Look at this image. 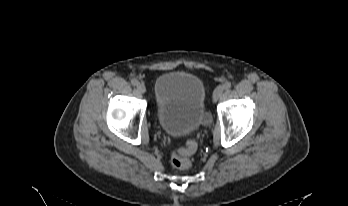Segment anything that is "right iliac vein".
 <instances>
[{"instance_id":"63e3f726","label":"right iliac vein","mask_w":348,"mask_h":206,"mask_svg":"<svg viewBox=\"0 0 348 206\" xmlns=\"http://www.w3.org/2000/svg\"><path fill=\"white\" fill-rule=\"evenodd\" d=\"M137 91H138L139 93H141V94H144V93L146 92V87H145V85L142 84V83H139V84L137 85Z\"/></svg>"}]
</instances>
